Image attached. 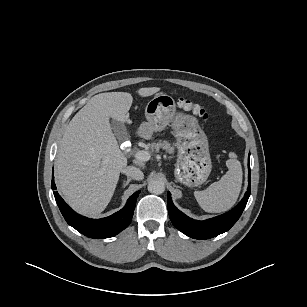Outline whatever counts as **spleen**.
<instances>
[{
    "label": "spleen",
    "mask_w": 307,
    "mask_h": 307,
    "mask_svg": "<svg viewBox=\"0 0 307 307\" xmlns=\"http://www.w3.org/2000/svg\"><path fill=\"white\" fill-rule=\"evenodd\" d=\"M229 157L230 159L226 161L228 167L226 174L207 189L194 192L197 202L206 212H225L237 201L242 185V168L234 152H230Z\"/></svg>",
    "instance_id": "3e777b00"
}]
</instances>
